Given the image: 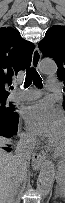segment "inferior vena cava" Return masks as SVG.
Returning <instances> with one entry per match:
<instances>
[{
  "instance_id": "inferior-vena-cava-1",
  "label": "inferior vena cava",
  "mask_w": 65,
  "mask_h": 203,
  "mask_svg": "<svg viewBox=\"0 0 65 203\" xmlns=\"http://www.w3.org/2000/svg\"><path fill=\"white\" fill-rule=\"evenodd\" d=\"M36 142L35 137H22L17 143L16 149H15V158L17 160L18 166H17V179L15 182H13L11 187L10 195L5 198L4 196L0 198V203H15V194L17 193V189L20 184V180H22L25 176L26 170H27V164L28 161L31 158L32 153V146Z\"/></svg>"
}]
</instances>
